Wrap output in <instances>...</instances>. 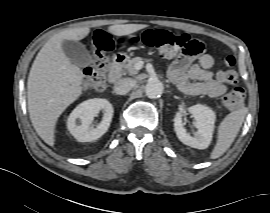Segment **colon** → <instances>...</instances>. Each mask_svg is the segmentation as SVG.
Wrapping results in <instances>:
<instances>
[{
	"instance_id": "colon-1",
	"label": "colon",
	"mask_w": 270,
	"mask_h": 213,
	"mask_svg": "<svg viewBox=\"0 0 270 213\" xmlns=\"http://www.w3.org/2000/svg\"><path fill=\"white\" fill-rule=\"evenodd\" d=\"M142 42L152 48H157L162 54L176 55L183 52L185 55L193 56L203 49L199 39L191 37L189 34H175L165 29L146 30L142 35ZM138 38H134L137 41ZM87 43L92 51V63L85 72L84 80L88 87L94 90H102L105 86V75L109 65L108 53L112 50L113 40L105 30L94 31ZM228 67L235 64L232 55L225 57ZM220 78L227 83H235L237 73L232 69H226L219 74ZM244 91L241 87H234L222 98V105L227 110L236 109L243 98Z\"/></svg>"
}]
</instances>
